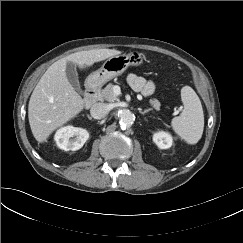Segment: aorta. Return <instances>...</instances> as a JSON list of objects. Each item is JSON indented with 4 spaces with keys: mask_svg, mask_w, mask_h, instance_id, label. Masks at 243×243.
I'll list each match as a JSON object with an SVG mask.
<instances>
[{
    "mask_svg": "<svg viewBox=\"0 0 243 243\" xmlns=\"http://www.w3.org/2000/svg\"><path fill=\"white\" fill-rule=\"evenodd\" d=\"M118 121L122 128L130 127L134 121V115L127 109L118 111Z\"/></svg>",
    "mask_w": 243,
    "mask_h": 243,
    "instance_id": "762f6f07",
    "label": "aorta"
}]
</instances>
